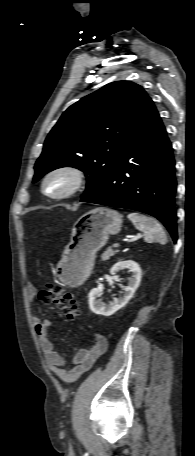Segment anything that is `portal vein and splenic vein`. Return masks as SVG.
<instances>
[{"label":"portal vein and splenic vein","instance_id":"portal-vein-and-splenic-vein-1","mask_svg":"<svg viewBox=\"0 0 195 456\" xmlns=\"http://www.w3.org/2000/svg\"><path fill=\"white\" fill-rule=\"evenodd\" d=\"M138 237H139V236H138ZM120 245H121L120 243H114V244H113V247L117 248V247H119Z\"/></svg>","mask_w":195,"mask_h":456}]
</instances>
